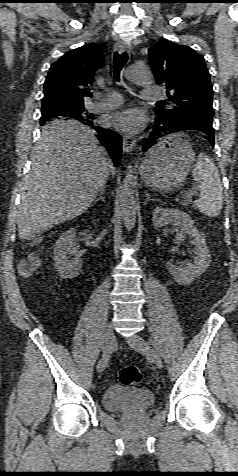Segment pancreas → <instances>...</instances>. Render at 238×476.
<instances>
[{
	"instance_id": "1",
	"label": "pancreas",
	"mask_w": 238,
	"mask_h": 476,
	"mask_svg": "<svg viewBox=\"0 0 238 476\" xmlns=\"http://www.w3.org/2000/svg\"><path fill=\"white\" fill-rule=\"evenodd\" d=\"M184 204H189V201L185 202Z\"/></svg>"
}]
</instances>
